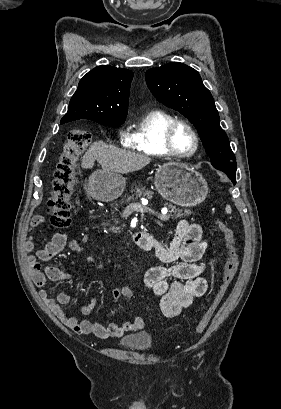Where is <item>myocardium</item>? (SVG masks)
Returning a JSON list of instances; mask_svg holds the SVG:
<instances>
[{"label":"myocardium","instance_id":"obj_1","mask_svg":"<svg viewBox=\"0 0 281 409\" xmlns=\"http://www.w3.org/2000/svg\"><path fill=\"white\" fill-rule=\"evenodd\" d=\"M181 128H185L189 131V133L191 134L192 138H193V142H194V147L193 150L189 153H182L177 149L176 143H175V139H176V134L178 132L179 129ZM165 147L168 151V153L176 158H180V159H186V158H190L193 155L196 154V152L199 149V136L196 132V130L194 129V127L187 121L183 120V119H177L175 121H173L167 128L166 130V134H165Z\"/></svg>","mask_w":281,"mask_h":409}]
</instances>
